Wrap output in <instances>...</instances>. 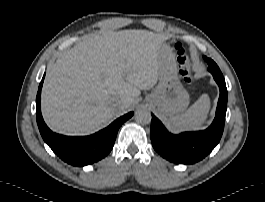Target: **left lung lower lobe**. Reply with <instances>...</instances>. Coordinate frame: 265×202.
<instances>
[{
  "mask_svg": "<svg viewBox=\"0 0 265 202\" xmlns=\"http://www.w3.org/2000/svg\"><path fill=\"white\" fill-rule=\"evenodd\" d=\"M208 70L220 88L216 116L209 128L199 132H184L179 135L169 133L152 114L150 136L153 148L165 159L173 163L193 164L206 157L219 143L227 109V88L217 64L206 57Z\"/></svg>",
  "mask_w": 265,
  "mask_h": 202,
  "instance_id": "obj_1",
  "label": "left lung lower lobe"
}]
</instances>
